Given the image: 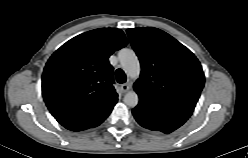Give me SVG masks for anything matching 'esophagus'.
<instances>
[{
	"instance_id": "1",
	"label": "esophagus",
	"mask_w": 248,
	"mask_h": 158,
	"mask_svg": "<svg viewBox=\"0 0 248 158\" xmlns=\"http://www.w3.org/2000/svg\"><path fill=\"white\" fill-rule=\"evenodd\" d=\"M129 89H130V83L129 82H126V83L121 85L122 92H127V91H129Z\"/></svg>"
}]
</instances>
